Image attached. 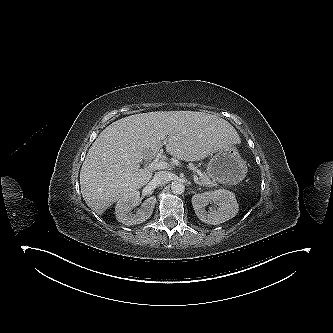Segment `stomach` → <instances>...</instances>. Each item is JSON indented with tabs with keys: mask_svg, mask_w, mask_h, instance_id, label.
<instances>
[{
	"mask_svg": "<svg viewBox=\"0 0 333 333\" xmlns=\"http://www.w3.org/2000/svg\"><path fill=\"white\" fill-rule=\"evenodd\" d=\"M207 175L221 184L235 185L247 174L246 162L234 146L218 151L207 165Z\"/></svg>",
	"mask_w": 333,
	"mask_h": 333,
	"instance_id": "1",
	"label": "stomach"
}]
</instances>
